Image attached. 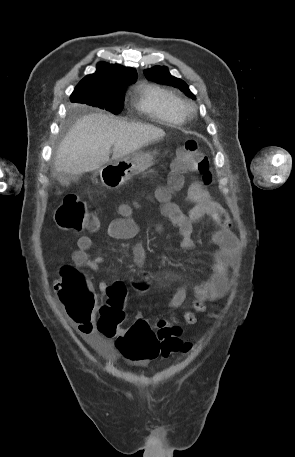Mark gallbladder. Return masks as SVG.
I'll use <instances>...</instances> for the list:
<instances>
[{
    "mask_svg": "<svg viewBox=\"0 0 295 457\" xmlns=\"http://www.w3.org/2000/svg\"><path fill=\"white\" fill-rule=\"evenodd\" d=\"M55 177L62 185H69L71 181L76 179L74 175L59 172L55 174Z\"/></svg>",
    "mask_w": 295,
    "mask_h": 457,
    "instance_id": "bac80fb5",
    "label": "gallbladder"
}]
</instances>
